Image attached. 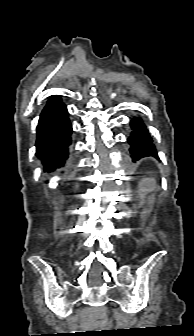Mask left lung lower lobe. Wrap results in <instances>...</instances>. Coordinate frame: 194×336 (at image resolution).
Wrapping results in <instances>:
<instances>
[{
  "label": "left lung lower lobe",
  "instance_id": "obj_1",
  "mask_svg": "<svg viewBox=\"0 0 194 336\" xmlns=\"http://www.w3.org/2000/svg\"><path fill=\"white\" fill-rule=\"evenodd\" d=\"M132 131L128 138L130 144V157L133 162H136L144 157H157V152L154 144H152V138L150 137L146 126L143 124L140 118L133 119L131 121Z\"/></svg>",
  "mask_w": 194,
  "mask_h": 336
}]
</instances>
